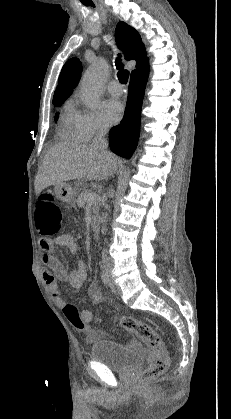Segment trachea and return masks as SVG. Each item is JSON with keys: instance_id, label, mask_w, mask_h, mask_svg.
<instances>
[{"instance_id": "1", "label": "trachea", "mask_w": 231, "mask_h": 419, "mask_svg": "<svg viewBox=\"0 0 231 419\" xmlns=\"http://www.w3.org/2000/svg\"><path fill=\"white\" fill-rule=\"evenodd\" d=\"M120 57L121 56H119L115 61L116 68L118 69L117 76L122 84H126L129 78V72L124 69V65L121 63Z\"/></svg>"}]
</instances>
